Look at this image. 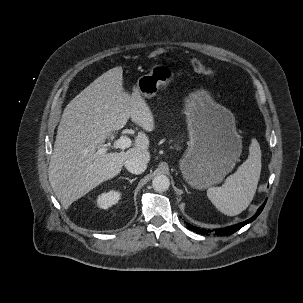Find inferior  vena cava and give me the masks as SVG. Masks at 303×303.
I'll use <instances>...</instances> for the list:
<instances>
[{"label": "inferior vena cava", "instance_id": "inferior-vena-cava-1", "mask_svg": "<svg viewBox=\"0 0 303 303\" xmlns=\"http://www.w3.org/2000/svg\"><path fill=\"white\" fill-rule=\"evenodd\" d=\"M126 169L133 174H141L147 168V162L141 157H131L125 161Z\"/></svg>", "mask_w": 303, "mask_h": 303}]
</instances>
